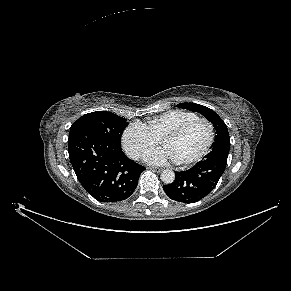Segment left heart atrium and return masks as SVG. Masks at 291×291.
<instances>
[{
  "label": "left heart atrium",
  "instance_id": "39dd6f15",
  "mask_svg": "<svg viewBox=\"0 0 291 291\" xmlns=\"http://www.w3.org/2000/svg\"><path fill=\"white\" fill-rule=\"evenodd\" d=\"M145 161L153 165H165L177 160L169 148L163 147L148 152L145 156Z\"/></svg>",
  "mask_w": 291,
  "mask_h": 291
}]
</instances>
